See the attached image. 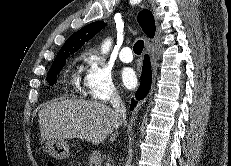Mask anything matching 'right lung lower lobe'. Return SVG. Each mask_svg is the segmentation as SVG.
<instances>
[{
  "label": "right lung lower lobe",
  "mask_w": 231,
  "mask_h": 166,
  "mask_svg": "<svg viewBox=\"0 0 231 166\" xmlns=\"http://www.w3.org/2000/svg\"><path fill=\"white\" fill-rule=\"evenodd\" d=\"M151 80H152V76H151L150 58L147 55H145L143 68H142L141 85L136 92L137 100H141L146 96L147 92L150 89ZM136 103L137 102L134 101V99H132L131 109L135 107Z\"/></svg>",
  "instance_id": "98d812e1"
}]
</instances>
